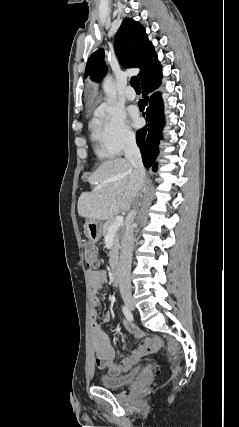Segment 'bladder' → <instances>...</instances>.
I'll return each mask as SVG.
<instances>
[{"label":"bladder","instance_id":"1","mask_svg":"<svg viewBox=\"0 0 239 427\" xmlns=\"http://www.w3.org/2000/svg\"><path fill=\"white\" fill-rule=\"evenodd\" d=\"M139 372L140 369L137 367L125 375L113 376L109 374H104L100 376V383L102 386L109 389L120 388L134 381Z\"/></svg>","mask_w":239,"mask_h":427}]
</instances>
